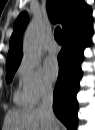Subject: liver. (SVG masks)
Masks as SVG:
<instances>
[{
    "instance_id": "liver-1",
    "label": "liver",
    "mask_w": 95,
    "mask_h": 130,
    "mask_svg": "<svg viewBox=\"0 0 95 130\" xmlns=\"http://www.w3.org/2000/svg\"><path fill=\"white\" fill-rule=\"evenodd\" d=\"M3 130H60V123L49 121L38 108L9 110Z\"/></svg>"
}]
</instances>
